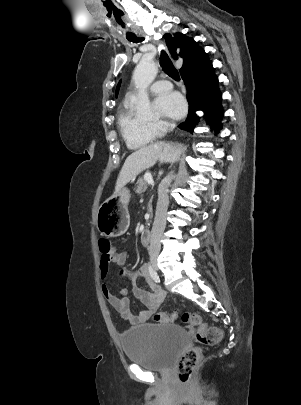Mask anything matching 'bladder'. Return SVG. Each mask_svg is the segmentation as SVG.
<instances>
[{
	"mask_svg": "<svg viewBox=\"0 0 301 405\" xmlns=\"http://www.w3.org/2000/svg\"><path fill=\"white\" fill-rule=\"evenodd\" d=\"M126 358L145 369L169 371L188 345L185 329L168 324H144L121 333Z\"/></svg>",
	"mask_w": 301,
	"mask_h": 405,
	"instance_id": "1",
	"label": "bladder"
}]
</instances>
